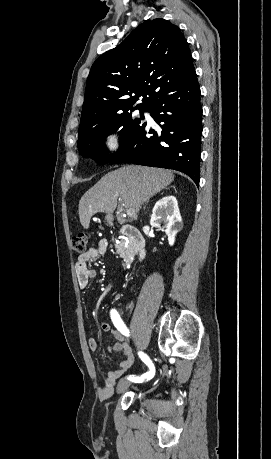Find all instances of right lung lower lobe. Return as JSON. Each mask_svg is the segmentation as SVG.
I'll list each match as a JSON object with an SVG mask.
<instances>
[{
	"label": "right lung lower lobe",
	"instance_id": "98d812e1",
	"mask_svg": "<svg viewBox=\"0 0 271 459\" xmlns=\"http://www.w3.org/2000/svg\"><path fill=\"white\" fill-rule=\"evenodd\" d=\"M200 93L195 72L154 97L146 111L160 128L148 130L147 123H142L109 163L132 162L174 169L187 174L198 185L202 134Z\"/></svg>",
	"mask_w": 271,
	"mask_h": 459
}]
</instances>
